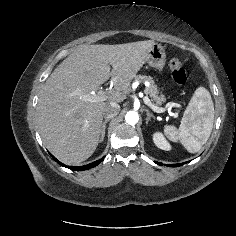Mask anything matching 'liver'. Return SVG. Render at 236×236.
I'll return each instance as SVG.
<instances>
[{"mask_svg": "<svg viewBox=\"0 0 236 236\" xmlns=\"http://www.w3.org/2000/svg\"><path fill=\"white\" fill-rule=\"evenodd\" d=\"M154 44L147 40L81 45L57 66L46 80L37 104L43 144L55 157L76 165L94 153L100 142L104 107L126 99L131 81ZM109 78L115 91L105 101L91 102Z\"/></svg>", "mask_w": 236, "mask_h": 236, "instance_id": "liver-1", "label": "liver"}]
</instances>
